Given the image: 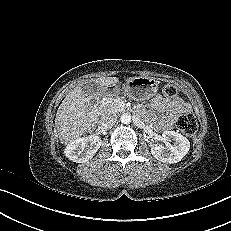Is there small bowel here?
Returning a JSON list of instances; mask_svg holds the SVG:
<instances>
[{
	"label": "small bowel",
	"instance_id": "1",
	"mask_svg": "<svg viewBox=\"0 0 231 231\" xmlns=\"http://www.w3.org/2000/svg\"><path fill=\"white\" fill-rule=\"evenodd\" d=\"M190 106L183 99H165L160 95L155 96L150 103V111L145 112L139 108V112L146 114L148 121L154 124L159 131L170 130L179 114L186 113Z\"/></svg>",
	"mask_w": 231,
	"mask_h": 231
}]
</instances>
